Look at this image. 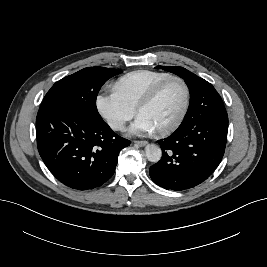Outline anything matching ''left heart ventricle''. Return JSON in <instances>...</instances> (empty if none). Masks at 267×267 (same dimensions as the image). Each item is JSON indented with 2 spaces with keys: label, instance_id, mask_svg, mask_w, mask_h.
Masks as SVG:
<instances>
[{
  "label": "left heart ventricle",
  "instance_id": "left-heart-ventricle-1",
  "mask_svg": "<svg viewBox=\"0 0 267 267\" xmlns=\"http://www.w3.org/2000/svg\"><path fill=\"white\" fill-rule=\"evenodd\" d=\"M184 103V89L180 82L167 83L157 98L140 111L153 125L160 129L172 124L179 116Z\"/></svg>",
  "mask_w": 267,
  "mask_h": 267
}]
</instances>
